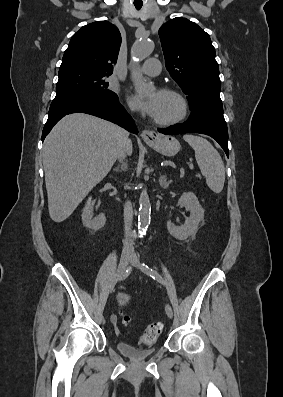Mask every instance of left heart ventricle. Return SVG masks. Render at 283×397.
<instances>
[{"instance_id":"b2bd125f","label":"left heart ventricle","mask_w":283,"mask_h":397,"mask_svg":"<svg viewBox=\"0 0 283 397\" xmlns=\"http://www.w3.org/2000/svg\"><path fill=\"white\" fill-rule=\"evenodd\" d=\"M152 97L157 99V111L154 116L158 120L171 119L177 116L181 106L178 99L169 94L154 93Z\"/></svg>"}]
</instances>
